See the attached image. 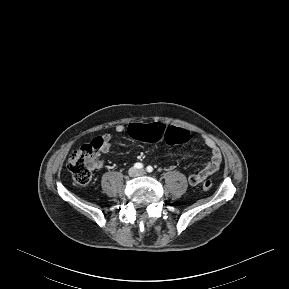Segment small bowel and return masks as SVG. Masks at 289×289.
<instances>
[{
    "label": "small bowel",
    "mask_w": 289,
    "mask_h": 289,
    "mask_svg": "<svg viewBox=\"0 0 289 289\" xmlns=\"http://www.w3.org/2000/svg\"><path fill=\"white\" fill-rule=\"evenodd\" d=\"M125 129L126 127L123 124H118L115 127V130L117 132H123ZM101 139L103 141V144L100 151L103 153H107L110 150L111 146V135L109 133H106L101 137ZM203 142L210 149L211 156L209 161L200 171L193 173L189 176L188 180L190 185L192 186L199 185L202 181L215 173L219 169L222 161V155L216 143L208 137H204Z\"/></svg>",
    "instance_id": "obj_1"
}]
</instances>
